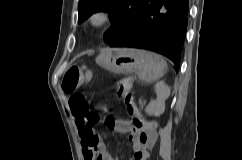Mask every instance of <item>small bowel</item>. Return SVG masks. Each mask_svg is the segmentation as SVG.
Wrapping results in <instances>:
<instances>
[{
	"label": "small bowel",
	"mask_w": 242,
	"mask_h": 160,
	"mask_svg": "<svg viewBox=\"0 0 242 160\" xmlns=\"http://www.w3.org/2000/svg\"><path fill=\"white\" fill-rule=\"evenodd\" d=\"M75 123L79 130L81 139V148L84 160H120L119 158H112L106 151L105 144L99 139L88 143L83 137V131L88 130L79 125V119L75 117ZM106 126L117 133L129 134V138L133 144L134 156L127 160H147L149 150L154 146L156 141L155 124L151 121L145 120L142 115H137L131 120L120 119L115 117H108L105 119Z\"/></svg>",
	"instance_id": "1"
}]
</instances>
